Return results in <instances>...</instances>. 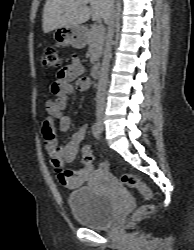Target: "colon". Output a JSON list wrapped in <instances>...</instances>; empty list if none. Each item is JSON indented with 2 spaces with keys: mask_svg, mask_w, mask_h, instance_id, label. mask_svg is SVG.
<instances>
[{
  "mask_svg": "<svg viewBox=\"0 0 194 250\" xmlns=\"http://www.w3.org/2000/svg\"><path fill=\"white\" fill-rule=\"evenodd\" d=\"M41 64L44 68H59L61 65V56L54 46H48L44 49ZM82 162L85 165H92L94 160L91 155L90 147L84 145L82 147ZM124 185L137 190L144 199L150 200L152 198L151 189L136 175L124 172L120 176ZM153 212V206L146 204L142 206L134 215V219L149 215Z\"/></svg>",
  "mask_w": 194,
  "mask_h": 250,
  "instance_id": "obj_1",
  "label": "colon"
}]
</instances>
